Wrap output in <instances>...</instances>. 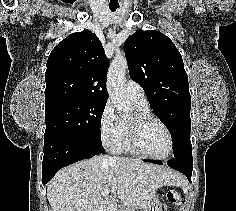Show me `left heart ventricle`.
I'll return each mask as SVG.
<instances>
[{
  "label": "left heart ventricle",
  "instance_id": "left-heart-ventricle-1",
  "mask_svg": "<svg viewBox=\"0 0 236 211\" xmlns=\"http://www.w3.org/2000/svg\"><path fill=\"white\" fill-rule=\"evenodd\" d=\"M131 118L133 115L128 119ZM137 142L143 151L156 156L166 154L169 149V139L165 130L154 122L138 127Z\"/></svg>",
  "mask_w": 236,
  "mask_h": 211
}]
</instances>
